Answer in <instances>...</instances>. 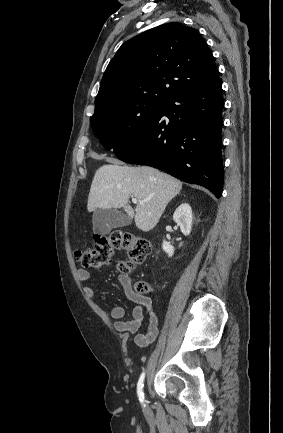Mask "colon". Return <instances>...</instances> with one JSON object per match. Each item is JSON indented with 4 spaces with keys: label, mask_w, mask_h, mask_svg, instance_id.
<instances>
[{
    "label": "colon",
    "mask_w": 283,
    "mask_h": 433,
    "mask_svg": "<svg viewBox=\"0 0 283 433\" xmlns=\"http://www.w3.org/2000/svg\"><path fill=\"white\" fill-rule=\"evenodd\" d=\"M122 250L128 260L119 263L122 272H129L135 265L144 262L151 253V243L140 236L123 230H114L105 236H98L92 247L82 248L75 252L76 258L85 267L101 269L111 264L116 251ZM138 293L145 294L149 285L138 282L135 285Z\"/></svg>",
    "instance_id": "colon-1"
}]
</instances>
